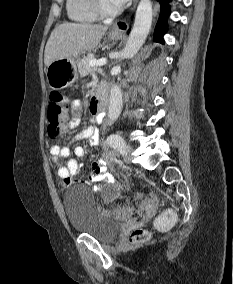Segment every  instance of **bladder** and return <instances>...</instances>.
<instances>
[{"instance_id":"obj_1","label":"bladder","mask_w":233,"mask_h":284,"mask_svg":"<svg viewBox=\"0 0 233 284\" xmlns=\"http://www.w3.org/2000/svg\"><path fill=\"white\" fill-rule=\"evenodd\" d=\"M116 193L114 187L103 190L107 199L115 197ZM64 208L69 225L76 233L110 242L120 231L119 224L98 206L93 191L85 186L71 187L65 193Z\"/></svg>"}]
</instances>
